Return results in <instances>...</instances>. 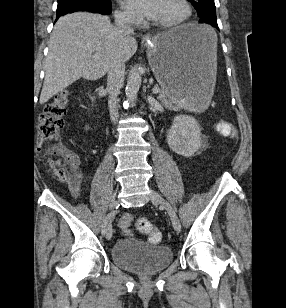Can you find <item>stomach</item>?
I'll return each instance as SVG.
<instances>
[{
    "label": "stomach",
    "instance_id": "1",
    "mask_svg": "<svg viewBox=\"0 0 286 308\" xmlns=\"http://www.w3.org/2000/svg\"><path fill=\"white\" fill-rule=\"evenodd\" d=\"M152 71L168 97L180 107H205L217 70V35L206 24L188 23L147 42Z\"/></svg>",
    "mask_w": 286,
    "mask_h": 308
}]
</instances>
